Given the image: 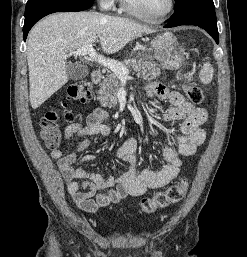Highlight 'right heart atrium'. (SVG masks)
<instances>
[{
  "label": "right heart atrium",
  "instance_id": "right-heart-atrium-1",
  "mask_svg": "<svg viewBox=\"0 0 247 257\" xmlns=\"http://www.w3.org/2000/svg\"><path fill=\"white\" fill-rule=\"evenodd\" d=\"M115 1L116 0H98V2L100 3V5L104 8V9H112L115 5Z\"/></svg>",
  "mask_w": 247,
  "mask_h": 257
}]
</instances>
